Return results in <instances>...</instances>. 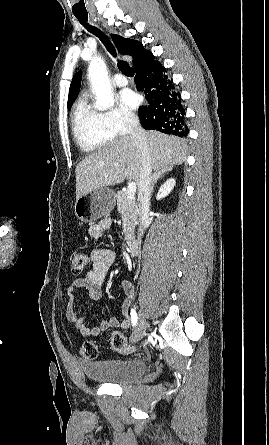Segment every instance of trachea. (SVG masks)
Wrapping results in <instances>:
<instances>
[{
	"label": "trachea",
	"mask_w": 269,
	"mask_h": 445,
	"mask_svg": "<svg viewBox=\"0 0 269 445\" xmlns=\"http://www.w3.org/2000/svg\"><path fill=\"white\" fill-rule=\"evenodd\" d=\"M76 18L80 22L81 25H83L90 33L97 36L101 42L106 47L107 51L110 52L111 55L116 57V51L114 46L111 44L109 38L105 36L99 29H97L94 26L89 25L88 23V15H76ZM117 66L119 70L128 77H132L134 75L133 71L131 70L129 64L123 60H118Z\"/></svg>",
	"instance_id": "1"
}]
</instances>
